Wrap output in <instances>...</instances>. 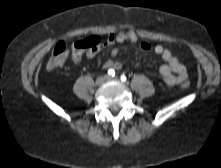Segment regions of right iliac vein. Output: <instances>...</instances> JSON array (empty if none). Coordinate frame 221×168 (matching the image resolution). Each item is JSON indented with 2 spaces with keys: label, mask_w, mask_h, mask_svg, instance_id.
I'll return each instance as SVG.
<instances>
[{
  "label": "right iliac vein",
  "mask_w": 221,
  "mask_h": 168,
  "mask_svg": "<svg viewBox=\"0 0 221 168\" xmlns=\"http://www.w3.org/2000/svg\"><path fill=\"white\" fill-rule=\"evenodd\" d=\"M107 80V76H100L96 79L95 83L97 86H101Z\"/></svg>",
  "instance_id": "1"
}]
</instances>
